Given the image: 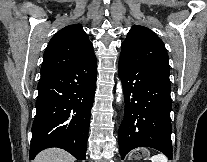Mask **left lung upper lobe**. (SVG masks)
<instances>
[{"label": "left lung upper lobe", "instance_id": "5c2ea615", "mask_svg": "<svg viewBox=\"0 0 207 162\" xmlns=\"http://www.w3.org/2000/svg\"><path fill=\"white\" fill-rule=\"evenodd\" d=\"M120 58L169 74V61L161 39L144 26H133L122 43Z\"/></svg>", "mask_w": 207, "mask_h": 162}]
</instances>
